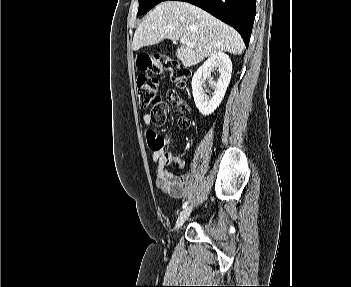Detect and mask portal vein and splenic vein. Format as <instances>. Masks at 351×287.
<instances>
[{
	"instance_id": "18ae733b",
	"label": "portal vein and splenic vein",
	"mask_w": 351,
	"mask_h": 287,
	"mask_svg": "<svg viewBox=\"0 0 351 287\" xmlns=\"http://www.w3.org/2000/svg\"><path fill=\"white\" fill-rule=\"evenodd\" d=\"M180 42H181L182 44H186L187 46L194 47V44L191 43L190 41H188V40L185 39V38H181V39H180Z\"/></svg>"
}]
</instances>
